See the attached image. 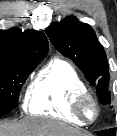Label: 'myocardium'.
<instances>
[{
  "instance_id": "1",
  "label": "myocardium",
  "mask_w": 117,
  "mask_h": 136,
  "mask_svg": "<svg viewBox=\"0 0 117 136\" xmlns=\"http://www.w3.org/2000/svg\"><path fill=\"white\" fill-rule=\"evenodd\" d=\"M92 110V114H88V109ZM72 113L79 119L92 123L99 116V106L92 94L89 92L78 95L71 106Z\"/></svg>"
}]
</instances>
